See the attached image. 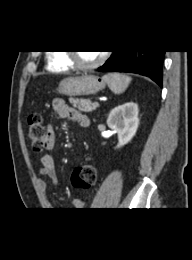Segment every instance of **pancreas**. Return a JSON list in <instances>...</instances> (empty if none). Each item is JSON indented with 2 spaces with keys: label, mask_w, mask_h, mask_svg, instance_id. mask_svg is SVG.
<instances>
[{
  "label": "pancreas",
  "mask_w": 192,
  "mask_h": 260,
  "mask_svg": "<svg viewBox=\"0 0 192 260\" xmlns=\"http://www.w3.org/2000/svg\"><path fill=\"white\" fill-rule=\"evenodd\" d=\"M69 102L72 104L73 107L77 108L78 110L82 111V112H92L94 111L96 108L93 107V103L90 101H87L85 99H73L70 98Z\"/></svg>",
  "instance_id": "1"
}]
</instances>
